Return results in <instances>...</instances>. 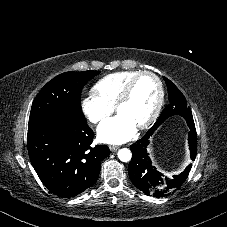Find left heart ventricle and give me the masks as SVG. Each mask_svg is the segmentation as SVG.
<instances>
[{
  "label": "left heart ventricle",
  "mask_w": 227,
  "mask_h": 227,
  "mask_svg": "<svg viewBox=\"0 0 227 227\" xmlns=\"http://www.w3.org/2000/svg\"><path fill=\"white\" fill-rule=\"evenodd\" d=\"M158 98L157 84L150 76L140 77L130 99L117 112L129 118L135 126L145 122L152 114Z\"/></svg>",
  "instance_id": "1"
}]
</instances>
